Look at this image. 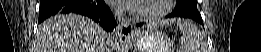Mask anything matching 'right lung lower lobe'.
Returning a JSON list of instances; mask_svg holds the SVG:
<instances>
[{
	"instance_id": "obj_1",
	"label": "right lung lower lobe",
	"mask_w": 261,
	"mask_h": 52,
	"mask_svg": "<svg viewBox=\"0 0 261 52\" xmlns=\"http://www.w3.org/2000/svg\"><path fill=\"white\" fill-rule=\"evenodd\" d=\"M69 12L88 16L107 31H112L116 26L112 12L104 0H41L38 23L54 14Z\"/></svg>"
}]
</instances>
